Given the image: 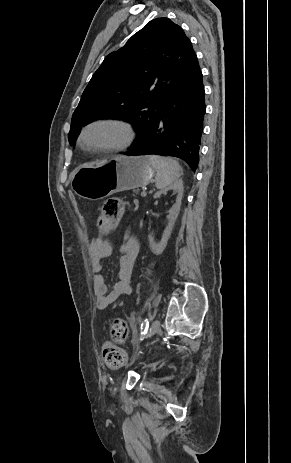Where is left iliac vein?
Instances as JSON below:
<instances>
[{
	"mask_svg": "<svg viewBox=\"0 0 291 463\" xmlns=\"http://www.w3.org/2000/svg\"><path fill=\"white\" fill-rule=\"evenodd\" d=\"M160 331V321L158 319L154 320L150 329H149V332H148V337L151 338L152 336H154L155 334H157L158 332ZM137 359V356H135L133 359H132V363Z\"/></svg>",
	"mask_w": 291,
	"mask_h": 463,
	"instance_id": "obj_1",
	"label": "left iliac vein"
}]
</instances>
